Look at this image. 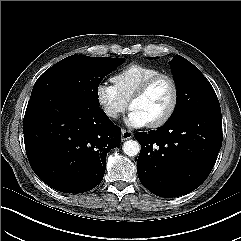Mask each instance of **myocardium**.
Returning <instances> with one entry per match:
<instances>
[{
	"label": "myocardium",
	"mask_w": 241,
	"mask_h": 241,
	"mask_svg": "<svg viewBox=\"0 0 241 241\" xmlns=\"http://www.w3.org/2000/svg\"><path fill=\"white\" fill-rule=\"evenodd\" d=\"M162 79L169 81L172 86V90H173L172 101L167 111L160 118L147 124V126L150 128H158L163 126L174 115L177 109V106L179 103V97H180L179 85L176 79L172 75L165 74V73H159L157 75H154L149 79H147L145 82H143L129 98V108H131V104L133 101L143 97L152 88V86L155 83H157L159 80H162Z\"/></svg>",
	"instance_id": "myocardium-1"
}]
</instances>
